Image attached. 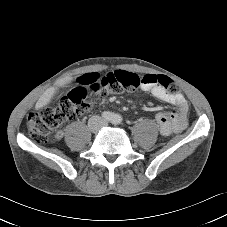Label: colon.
Masks as SVG:
<instances>
[{
	"label": "colon",
	"instance_id": "1",
	"mask_svg": "<svg viewBox=\"0 0 227 227\" xmlns=\"http://www.w3.org/2000/svg\"><path fill=\"white\" fill-rule=\"evenodd\" d=\"M142 84L160 85L169 93H178L177 84L164 75H145L117 70L105 74L103 81L93 82L82 87H75L57 106L45 107L38 112L29 114L27 127L30 135L38 143H47L50 135L63 123L71 121L85 113L89 108L88 91L100 95L119 94L138 89Z\"/></svg>",
	"mask_w": 227,
	"mask_h": 227
}]
</instances>
